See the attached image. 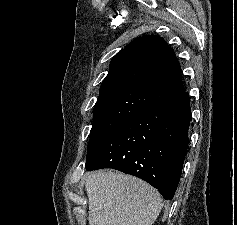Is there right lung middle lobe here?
I'll list each match as a JSON object with an SVG mask.
<instances>
[{
  "instance_id": "right-lung-middle-lobe-1",
  "label": "right lung middle lobe",
  "mask_w": 237,
  "mask_h": 225,
  "mask_svg": "<svg viewBox=\"0 0 237 225\" xmlns=\"http://www.w3.org/2000/svg\"><path fill=\"white\" fill-rule=\"evenodd\" d=\"M126 122L127 121L118 119L93 120L87 155L108 135H110L113 131H115Z\"/></svg>"
}]
</instances>
